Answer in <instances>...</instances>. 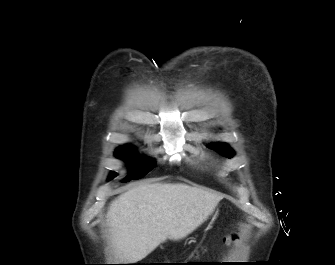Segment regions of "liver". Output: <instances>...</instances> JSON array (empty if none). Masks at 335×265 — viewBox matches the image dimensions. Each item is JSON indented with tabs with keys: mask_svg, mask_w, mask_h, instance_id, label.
I'll list each match as a JSON object with an SVG mask.
<instances>
[{
	"mask_svg": "<svg viewBox=\"0 0 335 265\" xmlns=\"http://www.w3.org/2000/svg\"><path fill=\"white\" fill-rule=\"evenodd\" d=\"M222 199L182 183L133 187L110 205L107 222L120 262H138L167 239L178 241L198 228Z\"/></svg>",
	"mask_w": 335,
	"mask_h": 265,
	"instance_id": "obj_1",
	"label": "liver"
}]
</instances>
